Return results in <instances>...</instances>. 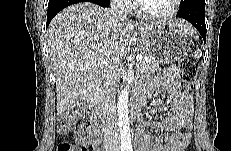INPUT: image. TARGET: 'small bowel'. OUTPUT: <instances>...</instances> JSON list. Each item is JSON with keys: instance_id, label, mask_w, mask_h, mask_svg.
<instances>
[{"instance_id": "obj_1", "label": "small bowel", "mask_w": 231, "mask_h": 151, "mask_svg": "<svg viewBox=\"0 0 231 151\" xmlns=\"http://www.w3.org/2000/svg\"><path fill=\"white\" fill-rule=\"evenodd\" d=\"M182 80L175 69L165 71L148 88L141 90L149 96L158 90L166 91L167 101L171 111L160 121L141 120L136 134L137 151H179L188 145L193 126V104L191 96L181 89ZM149 128L165 129L168 135L161 137L150 134ZM99 130L95 120L91 119L87 139L82 141L84 146L96 148L99 145Z\"/></svg>"}]
</instances>
